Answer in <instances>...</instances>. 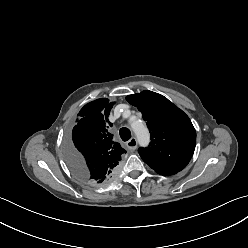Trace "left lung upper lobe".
I'll list each match as a JSON object with an SVG mask.
<instances>
[{
    "mask_svg": "<svg viewBox=\"0 0 248 248\" xmlns=\"http://www.w3.org/2000/svg\"><path fill=\"white\" fill-rule=\"evenodd\" d=\"M126 100L137 107L146 121L151 142L139 148L143 161L159 174H173L189 163L196 145V131L189 117L166 97L142 91Z\"/></svg>",
    "mask_w": 248,
    "mask_h": 248,
    "instance_id": "1",
    "label": "left lung upper lobe"
}]
</instances>
